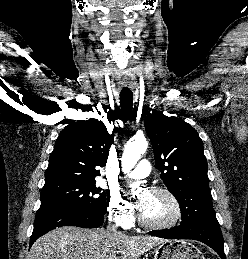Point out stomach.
Segmentation results:
<instances>
[{
  "instance_id": "obj_1",
  "label": "stomach",
  "mask_w": 248,
  "mask_h": 259,
  "mask_svg": "<svg viewBox=\"0 0 248 259\" xmlns=\"http://www.w3.org/2000/svg\"><path fill=\"white\" fill-rule=\"evenodd\" d=\"M154 259H205L201 251L186 241H166L154 251Z\"/></svg>"
}]
</instances>
